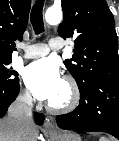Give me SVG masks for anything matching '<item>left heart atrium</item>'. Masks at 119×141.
<instances>
[{
	"label": "left heart atrium",
	"instance_id": "left-heart-atrium-1",
	"mask_svg": "<svg viewBox=\"0 0 119 141\" xmlns=\"http://www.w3.org/2000/svg\"><path fill=\"white\" fill-rule=\"evenodd\" d=\"M23 77L33 95L37 99L47 101L57 94L63 82L59 66L51 58L31 63L24 70Z\"/></svg>",
	"mask_w": 119,
	"mask_h": 141
}]
</instances>
